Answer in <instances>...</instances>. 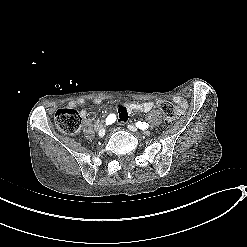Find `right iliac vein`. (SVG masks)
Instances as JSON below:
<instances>
[{"instance_id": "63e3f726", "label": "right iliac vein", "mask_w": 247, "mask_h": 247, "mask_svg": "<svg viewBox=\"0 0 247 247\" xmlns=\"http://www.w3.org/2000/svg\"><path fill=\"white\" fill-rule=\"evenodd\" d=\"M105 132H106V130H105L104 128L100 129L99 132H98V136H99L100 138L104 137Z\"/></svg>"}]
</instances>
